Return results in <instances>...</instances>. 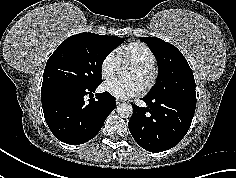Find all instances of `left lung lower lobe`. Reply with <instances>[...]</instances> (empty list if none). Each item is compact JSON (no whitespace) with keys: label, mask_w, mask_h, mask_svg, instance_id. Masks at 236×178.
<instances>
[{"label":"left lung lower lobe","mask_w":236,"mask_h":178,"mask_svg":"<svg viewBox=\"0 0 236 178\" xmlns=\"http://www.w3.org/2000/svg\"><path fill=\"white\" fill-rule=\"evenodd\" d=\"M142 100L148 106L132 104L133 114L128 124L135 141L150 152H162L176 146L190 128L196 100L149 96Z\"/></svg>","instance_id":"0a47b994"}]
</instances>
